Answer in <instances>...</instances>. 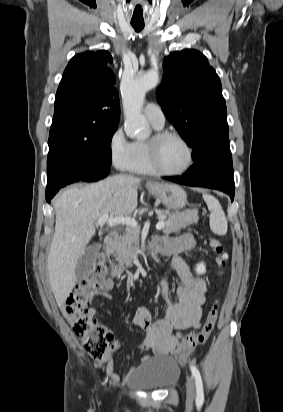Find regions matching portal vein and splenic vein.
Returning <instances> with one entry per match:
<instances>
[{
    "label": "portal vein and splenic vein",
    "mask_w": 283,
    "mask_h": 412,
    "mask_svg": "<svg viewBox=\"0 0 283 412\" xmlns=\"http://www.w3.org/2000/svg\"><path fill=\"white\" fill-rule=\"evenodd\" d=\"M107 224L110 227L117 226V225H126L128 227H137L138 223L135 218L131 217H109V214H105L97 220V225L102 227L103 225ZM165 226V222L161 219L156 224V229L161 230Z\"/></svg>",
    "instance_id": "portal-vein-and-splenic-vein-1"
}]
</instances>
